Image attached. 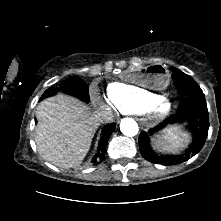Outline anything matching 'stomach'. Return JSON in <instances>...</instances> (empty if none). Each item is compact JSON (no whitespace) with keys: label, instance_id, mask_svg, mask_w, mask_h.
<instances>
[{"label":"stomach","instance_id":"0dacf381","mask_svg":"<svg viewBox=\"0 0 221 221\" xmlns=\"http://www.w3.org/2000/svg\"><path fill=\"white\" fill-rule=\"evenodd\" d=\"M125 79L134 86L161 88L168 80V72L160 64H150L146 69L130 67L125 72Z\"/></svg>","mask_w":221,"mask_h":221}]
</instances>
